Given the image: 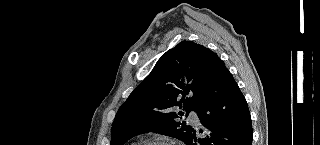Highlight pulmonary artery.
Returning a JSON list of instances; mask_svg holds the SVG:
<instances>
[{"label": "pulmonary artery", "instance_id": "obj_1", "mask_svg": "<svg viewBox=\"0 0 320 145\" xmlns=\"http://www.w3.org/2000/svg\"><path fill=\"white\" fill-rule=\"evenodd\" d=\"M188 119L196 126L200 125L199 117L195 112H190L188 115Z\"/></svg>", "mask_w": 320, "mask_h": 145}]
</instances>
